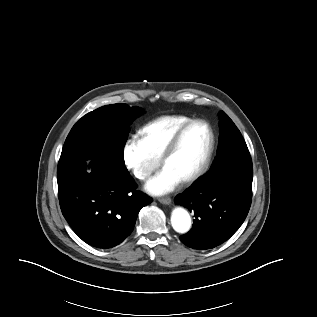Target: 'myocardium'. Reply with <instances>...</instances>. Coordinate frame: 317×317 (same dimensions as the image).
Segmentation results:
<instances>
[{
  "instance_id": "f54148a6",
  "label": "myocardium",
  "mask_w": 317,
  "mask_h": 317,
  "mask_svg": "<svg viewBox=\"0 0 317 317\" xmlns=\"http://www.w3.org/2000/svg\"><path fill=\"white\" fill-rule=\"evenodd\" d=\"M196 124H203L207 128V130L209 132V145H208V148H207L206 153L204 155V158H203L202 162L200 163V165L198 166V168L190 176L181 180V182L184 185H190V184H193L196 181H198L205 174V172L207 171V169L210 165L212 155L214 152V148H215V134H214V131H213L210 123L204 119H192L189 122H187L186 124H184L176 132V134L174 135V137L170 141L168 147L166 148V150L161 158V162L165 166L167 161L176 153L185 133L192 126H194Z\"/></svg>"
}]
</instances>
